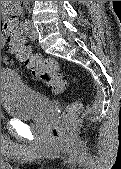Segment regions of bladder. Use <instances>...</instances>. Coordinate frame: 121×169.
Returning a JSON list of instances; mask_svg holds the SVG:
<instances>
[{
	"label": "bladder",
	"mask_w": 121,
	"mask_h": 169,
	"mask_svg": "<svg viewBox=\"0 0 121 169\" xmlns=\"http://www.w3.org/2000/svg\"><path fill=\"white\" fill-rule=\"evenodd\" d=\"M1 104L6 116L23 120H40L53 107L45 94L28 86L14 71L1 72Z\"/></svg>",
	"instance_id": "31cf9c89"
}]
</instances>
